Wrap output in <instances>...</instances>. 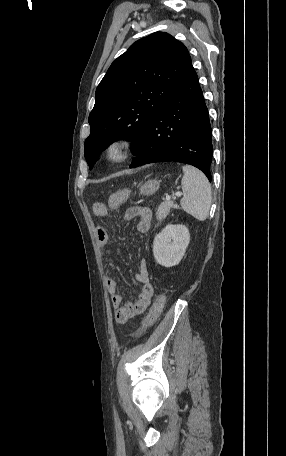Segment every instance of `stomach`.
Instances as JSON below:
<instances>
[{"instance_id":"stomach-1","label":"stomach","mask_w":286,"mask_h":456,"mask_svg":"<svg viewBox=\"0 0 286 456\" xmlns=\"http://www.w3.org/2000/svg\"><path fill=\"white\" fill-rule=\"evenodd\" d=\"M160 187V182L157 180H148L140 187V194L144 196L153 195Z\"/></svg>"}]
</instances>
